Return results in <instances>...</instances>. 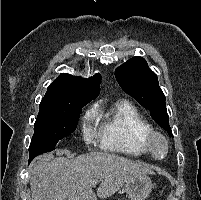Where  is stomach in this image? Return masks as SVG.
<instances>
[{"instance_id": "1", "label": "stomach", "mask_w": 201, "mask_h": 200, "mask_svg": "<svg viewBox=\"0 0 201 200\" xmlns=\"http://www.w3.org/2000/svg\"><path fill=\"white\" fill-rule=\"evenodd\" d=\"M124 190L131 200H145L152 190L151 179L141 175L128 180Z\"/></svg>"}]
</instances>
